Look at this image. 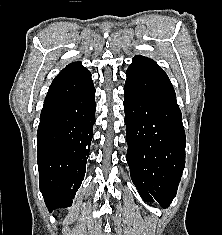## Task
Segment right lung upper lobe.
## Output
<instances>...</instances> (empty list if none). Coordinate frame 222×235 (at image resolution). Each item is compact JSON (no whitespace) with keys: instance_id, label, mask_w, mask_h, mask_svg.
Listing matches in <instances>:
<instances>
[{"instance_id":"obj_1","label":"right lung upper lobe","mask_w":222,"mask_h":235,"mask_svg":"<svg viewBox=\"0 0 222 235\" xmlns=\"http://www.w3.org/2000/svg\"><path fill=\"white\" fill-rule=\"evenodd\" d=\"M86 68L82 66V63L80 61L78 62H73L68 64L57 76L63 75L65 73H75V72H79L82 70H85Z\"/></svg>"}]
</instances>
